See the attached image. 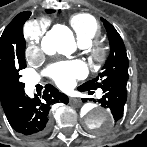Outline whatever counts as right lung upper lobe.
<instances>
[{
  "mask_svg": "<svg viewBox=\"0 0 147 147\" xmlns=\"http://www.w3.org/2000/svg\"><path fill=\"white\" fill-rule=\"evenodd\" d=\"M23 12L18 14L10 24L5 28L0 37V96L1 103L10 99L5 95L3 89V80L9 70L17 65L24 46L21 43L20 22L22 20Z\"/></svg>",
  "mask_w": 147,
  "mask_h": 147,
  "instance_id": "1",
  "label": "right lung upper lobe"
}]
</instances>
